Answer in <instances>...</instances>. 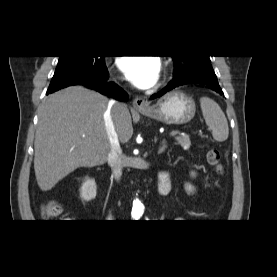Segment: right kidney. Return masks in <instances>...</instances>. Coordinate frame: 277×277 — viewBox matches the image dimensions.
<instances>
[{
  "instance_id": "1",
  "label": "right kidney",
  "mask_w": 277,
  "mask_h": 277,
  "mask_svg": "<svg viewBox=\"0 0 277 277\" xmlns=\"http://www.w3.org/2000/svg\"><path fill=\"white\" fill-rule=\"evenodd\" d=\"M97 185L94 179L86 178L80 188V197L84 201H90L96 197Z\"/></svg>"
}]
</instances>
